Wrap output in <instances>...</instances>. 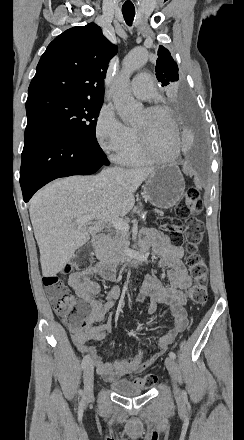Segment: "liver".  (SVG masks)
I'll list each match as a JSON object with an SVG mask.
<instances>
[{
    "label": "liver",
    "mask_w": 244,
    "mask_h": 440,
    "mask_svg": "<svg viewBox=\"0 0 244 440\" xmlns=\"http://www.w3.org/2000/svg\"><path fill=\"white\" fill-rule=\"evenodd\" d=\"M155 168H107L98 176H71L54 180L30 200V220L40 250L42 276H56L103 228L108 218L131 212L134 192ZM78 216L97 222L75 224Z\"/></svg>",
    "instance_id": "obj_1"
}]
</instances>
